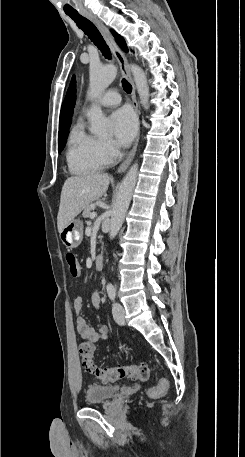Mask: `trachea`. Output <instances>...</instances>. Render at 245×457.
I'll use <instances>...</instances> for the list:
<instances>
[{"instance_id": "1", "label": "trachea", "mask_w": 245, "mask_h": 457, "mask_svg": "<svg viewBox=\"0 0 245 457\" xmlns=\"http://www.w3.org/2000/svg\"><path fill=\"white\" fill-rule=\"evenodd\" d=\"M67 15L74 20L77 26L83 30V32L90 38V40L98 47L105 58L110 59L111 53L106 45L101 33L97 30L96 26L90 22L87 18L82 17L79 13H67ZM123 90L127 93H131L132 85L126 80L122 79Z\"/></svg>"}]
</instances>
